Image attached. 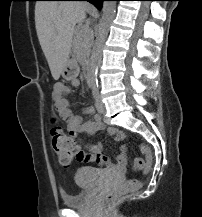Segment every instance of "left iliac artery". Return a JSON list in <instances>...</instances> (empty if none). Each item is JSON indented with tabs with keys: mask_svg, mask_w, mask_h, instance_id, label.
Returning <instances> with one entry per match:
<instances>
[{
	"mask_svg": "<svg viewBox=\"0 0 202 217\" xmlns=\"http://www.w3.org/2000/svg\"><path fill=\"white\" fill-rule=\"evenodd\" d=\"M91 88H92L93 96L96 97L99 94V92H98V83L93 82V84L91 85Z\"/></svg>",
	"mask_w": 202,
	"mask_h": 217,
	"instance_id": "1",
	"label": "left iliac artery"
}]
</instances>
